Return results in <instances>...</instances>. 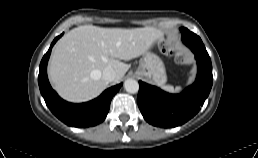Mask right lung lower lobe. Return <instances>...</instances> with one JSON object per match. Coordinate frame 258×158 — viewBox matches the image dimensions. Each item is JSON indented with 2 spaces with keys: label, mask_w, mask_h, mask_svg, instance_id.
Masks as SVG:
<instances>
[{
  "label": "right lung lower lobe",
  "mask_w": 258,
  "mask_h": 158,
  "mask_svg": "<svg viewBox=\"0 0 258 158\" xmlns=\"http://www.w3.org/2000/svg\"><path fill=\"white\" fill-rule=\"evenodd\" d=\"M62 35L56 37L48 52L41 60L38 76L40 92L51 112L62 122L74 127H90L102 122L108 114L110 101L118 92L122 83L105 90L98 98L82 103L73 104L61 99L51 88L47 78V63L52 46Z\"/></svg>",
  "instance_id": "1"
}]
</instances>
